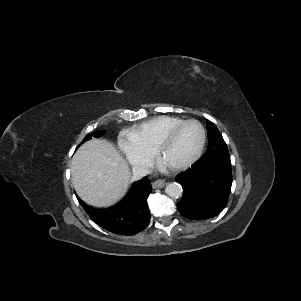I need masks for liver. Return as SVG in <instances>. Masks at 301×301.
<instances>
[{
  "mask_svg": "<svg viewBox=\"0 0 301 301\" xmlns=\"http://www.w3.org/2000/svg\"><path fill=\"white\" fill-rule=\"evenodd\" d=\"M71 180L83 201L106 207L124 195L130 182V171L111 143L94 139L76 151L71 162Z\"/></svg>",
  "mask_w": 301,
  "mask_h": 301,
  "instance_id": "obj_1",
  "label": "liver"
}]
</instances>
